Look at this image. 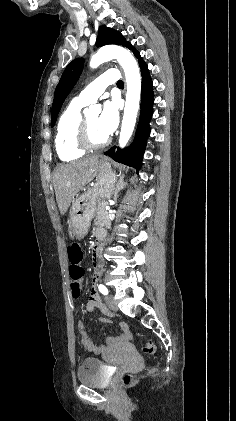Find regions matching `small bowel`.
<instances>
[{"instance_id":"c3829d8e","label":"small bowel","mask_w":236,"mask_h":421,"mask_svg":"<svg viewBox=\"0 0 236 421\" xmlns=\"http://www.w3.org/2000/svg\"><path fill=\"white\" fill-rule=\"evenodd\" d=\"M97 228H100V227H97ZM99 302H100V299H99V296H98L96 290L92 289L91 292H90L88 308L93 309L95 306H97L99 304ZM121 326H122L124 331L128 332V327L125 324H121Z\"/></svg>"}]
</instances>
